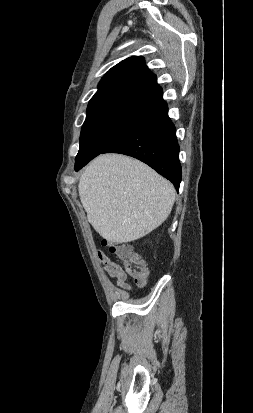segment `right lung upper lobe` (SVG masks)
<instances>
[{"instance_id":"cb5924a9","label":"right lung upper lobe","mask_w":253,"mask_h":413,"mask_svg":"<svg viewBox=\"0 0 253 413\" xmlns=\"http://www.w3.org/2000/svg\"><path fill=\"white\" fill-rule=\"evenodd\" d=\"M166 107L156 75L142 57L132 56L104 75L88 104L86 118L107 113L150 117Z\"/></svg>"}]
</instances>
